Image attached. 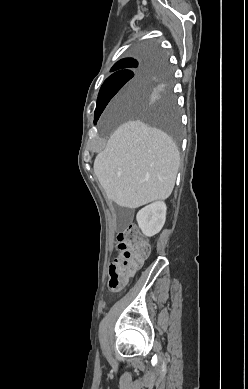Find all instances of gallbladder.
Segmentation results:
<instances>
[{
    "label": "gallbladder",
    "instance_id": "1",
    "mask_svg": "<svg viewBox=\"0 0 248 389\" xmlns=\"http://www.w3.org/2000/svg\"><path fill=\"white\" fill-rule=\"evenodd\" d=\"M130 214L131 212L127 209L122 210V214L120 215V221L122 223H126L130 220Z\"/></svg>",
    "mask_w": 248,
    "mask_h": 389
}]
</instances>
